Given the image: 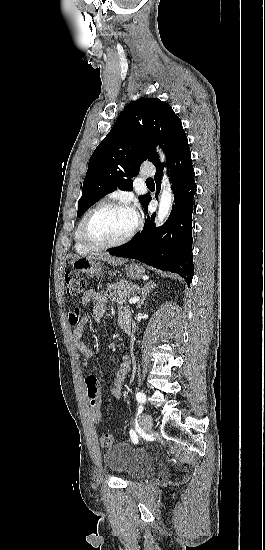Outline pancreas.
Here are the masks:
<instances>
[{"mask_svg": "<svg viewBox=\"0 0 265 550\" xmlns=\"http://www.w3.org/2000/svg\"><path fill=\"white\" fill-rule=\"evenodd\" d=\"M136 290H139V286L133 284L132 282L127 281H116L108 285L107 291L109 292V297L112 301H115L119 304L125 302V295L134 294Z\"/></svg>", "mask_w": 265, "mask_h": 550, "instance_id": "pancreas-1", "label": "pancreas"}]
</instances>
